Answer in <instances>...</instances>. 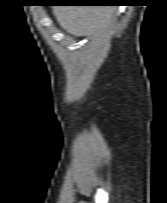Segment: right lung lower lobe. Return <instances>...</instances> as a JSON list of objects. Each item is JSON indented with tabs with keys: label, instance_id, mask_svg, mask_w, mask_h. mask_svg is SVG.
<instances>
[{
	"label": "right lung lower lobe",
	"instance_id": "right-lung-lower-lobe-1",
	"mask_svg": "<svg viewBox=\"0 0 167 203\" xmlns=\"http://www.w3.org/2000/svg\"><path fill=\"white\" fill-rule=\"evenodd\" d=\"M104 5H118V4H104Z\"/></svg>",
	"mask_w": 167,
	"mask_h": 203
}]
</instances>
